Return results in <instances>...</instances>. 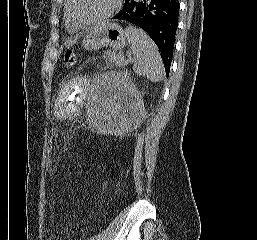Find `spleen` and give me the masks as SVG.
<instances>
[{"mask_svg": "<svg viewBox=\"0 0 257 240\" xmlns=\"http://www.w3.org/2000/svg\"><path fill=\"white\" fill-rule=\"evenodd\" d=\"M126 36L134 55V72L152 82L161 81L165 75L164 67L155 43L144 31L136 27H128Z\"/></svg>", "mask_w": 257, "mask_h": 240, "instance_id": "spleen-1", "label": "spleen"}]
</instances>
